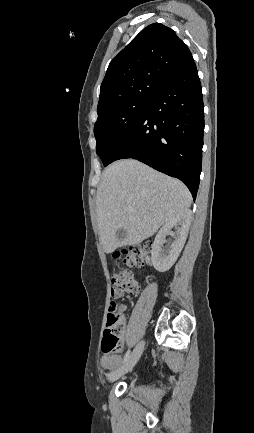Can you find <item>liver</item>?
I'll use <instances>...</instances> for the list:
<instances>
[{
    "mask_svg": "<svg viewBox=\"0 0 254 433\" xmlns=\"http://www.w3.org/2000/svg\"><path fill=\"white\" fill-rule=\"evenodd\" d=\"M191 194L177 179L133 159L109 165L97 189L96 214L104 252L139 244L191 205ZM127 236L118 240L116 232Z\"/></svg>",
    "mask_w": 254,
    "mask_h": 433,
    "instance_id": "liver-1",
    "label": "liver"
}]
</instances>
